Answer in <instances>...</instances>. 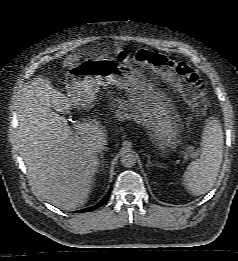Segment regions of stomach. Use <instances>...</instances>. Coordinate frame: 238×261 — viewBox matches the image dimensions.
Returning <instances> with one entry per match:
<instances>
[{"label": "stomach", "mask_w": 238, "mask_h": 261, "mask_svg": "<svg viewBox=\"0 0 238 261\" xmlns=\"http://www.w3.org/2000/svg\"><path fill=\"white\" fill-rule=\"evenodd\" d=\"M64 83L68 98L81 108L94 106L101 86L120 85L141 104L143 122L163 150L174 145L179 137L180 126L174 107L156 92L153 80L144 78L128 65L87 60L71 66Z\"/></svg>", "instance_id": "stomach-1"}]
</instances>
